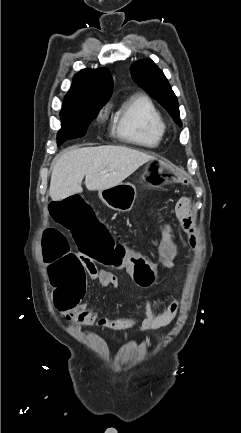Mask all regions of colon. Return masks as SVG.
Listing matches in <instances>:
<instances>
[{
	"mask_svg": "<svg viewBox=\"0 0 241 433\" xmlns=\"http://www.w3.org/2000/svg\"><path fill=\"white\" fill-rule=\"evenodd\" d=\"M144 164L143 174H146V179L150 181L153 177H158L156 183L167 189L177 186L179 180L186 181L191 177L183 168H171V162L162 161L161 157H148ZM145 168L154 169L149 173ZM46 207V215H50L51 221H59L62 229H71L69 237L73 243H77L82 257H90L92 261H107L109 265L118 267L119 257L125 256V252L122 247L117 249V245L111 243L108 238L111 228L106 226V221L96 220L97 205H87L82 201V193L74 192L72 198H64L63 202L50 200ZM149 214L162 221H169L171 217L161 207H151ZM161 235L164 239L158 246L159 251L176 250V241L182 232L179 229H164ZM41 253L45 262L41 264V271L50 272L56 310L74 312L75 305H82L86 296V268L82 267L76 255L69 250L65 236L57 229L51 228L44 232ZM127 263L141 281H152L154 273L144 258L131 255L127 257Z\"/></svg>",
	"mask_w": 241,
	"mask_h": 433,
	"instance_id": "1",
	"label": "colon"
}]
</instances>
